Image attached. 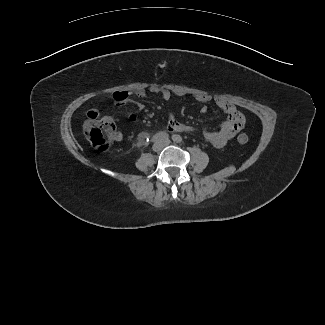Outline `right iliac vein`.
Instances as JSON below:
<instances>
[{"instance_id":"obj_1","label":"right iliac vein","mask_w":325,"mask_h":325,"mask_svg":"<svg viewBox=\"0 0 325 325\" xmlns=\"http://www.w3.org/2000/svg\"><path fill=\"white\" fill-rule=\"evenodd\" d=\"M162 147H163V143L162 142H157V143L154 144L153 150L154 151H160L162 149Z\"/></svg>"}]
</instances>
